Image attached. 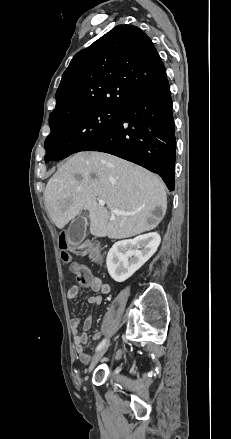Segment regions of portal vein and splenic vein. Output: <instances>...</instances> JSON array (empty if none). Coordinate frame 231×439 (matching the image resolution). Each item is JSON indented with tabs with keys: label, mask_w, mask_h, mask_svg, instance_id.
<instances>
[{
	"label": "portal vein and splenic vein",
	"mask_w": 231,
	"mask_h": 439,
	"mask_svg": "<svg viewBox=\"0 0 231 439\" xmlns=\"http://www.w3.org/2000/svg\"><path fill=\"white\" fill-rule=\"evenodd\" d=\"M99 204H100L101 206H104V205H105V202H104L103 200H99ZM110 211H111L112 214H122V215H128V214H129V213L121 212V211L116 210V209H110Z\"/></svg>",
	"instance_id": "obj_1"
}]
</instances>
